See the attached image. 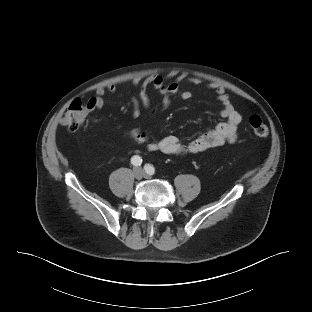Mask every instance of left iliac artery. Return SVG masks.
Returning <instances> with one entry per match:
<instances>
[{"instance_id": "left-iliac-artery-1", "label": "left iliac artery", "mask_w": 312, "mask_h": 312, "mask_svg": "<svg viewBox=\"0 0 312 312\" xmlns=\"http://www.w3.org/2000/svg\"><path fill=\"white\" fill-rule=\"evenodd\" d=\"M144 169H145L146 173L149 174V175H153L154 172H155L154 167L152 165H150V164H146L144 166Z\"/></svg>"}]
</instances>
